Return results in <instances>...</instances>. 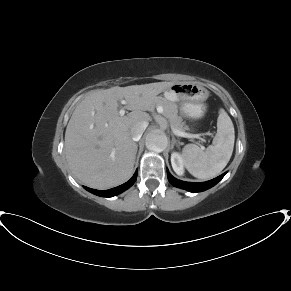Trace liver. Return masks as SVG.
<instances>
[{"label":"liver","mask_w":291,"mask_h":291,"mask_svg":"<svg viewBox=\"0 0 291 291\" xmlns=\"http://www.w3.org/2000/svg\"><path fill=\"white\" fill-rule=\"evenodd\" d=\"M173 82L112 87L86 96L75 108L65 132L64 152L72 174L96 189L127 181L134 167L137 144L130 128L149 122L148 110L158 94ZM131 112L121 116L118 101Z\"/></svg>","instance_id":"liver-1"}]
</instances>
